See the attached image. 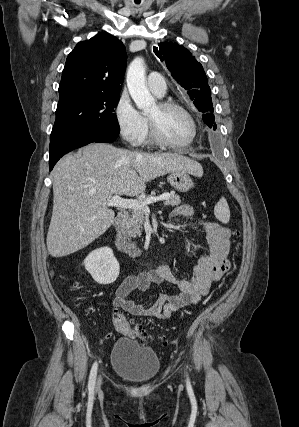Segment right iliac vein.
<instances>
[{"label":"right iliac vein","mask_w":299,"mask_h":427,"mask_svg":"<svg viewBox=\"0 0 299 427\" xmlns=\"http://www.w3.org/2000/svg\"><path fill=\"white\" fill-rule=\"evenodd\" d=\"M101 384H102V378H101V377H99V378H98V380H97V385H96V389H97V390H99V389H100Z\"/></svg>","instance_id":"1"}]
</instances>
